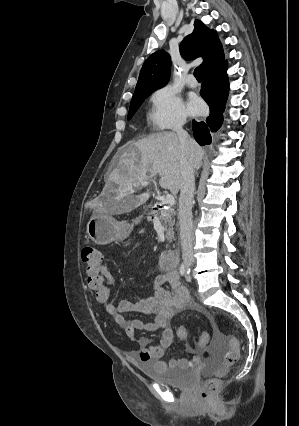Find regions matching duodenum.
I'll use <instances>...</instances> for the list:
<instances>
[{
	"instance_id": "duodenum-1",
	"label": "duodenum",
	"mask_w": 299,
	"mask_h": 426,
	"mask_svg": "<svg viewBox=\"0 0 299 426\" xmlns=\"http://www.w3.org/2000/svg\"><path fill=\"white\" fill-rule=\"evenodd\" d=\"M178 254L175 250H167L160 256V265L162 267H171L177 265Z\"/></svg>"
}]
</instances>
